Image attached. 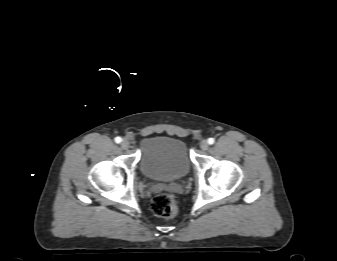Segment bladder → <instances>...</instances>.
I'll return each instance as SVG.
<instances>
[{
    "instance_id": "1",
    "label": "bladder",
    "mask_w": 337,
    "mask_h": 261,
    "mask_svg": "<svg viewBox=\"0 0 337 261\" xmlns=\"http://www.w3.org/2000/svg\"><path fill=\"white\" fill-rule=\"evenodd\" d=\"M140 168L154 181L172 182L184 178L190 170L186 145L169 136H150L141 141Z\"/></svg>"
}]
</instances>
